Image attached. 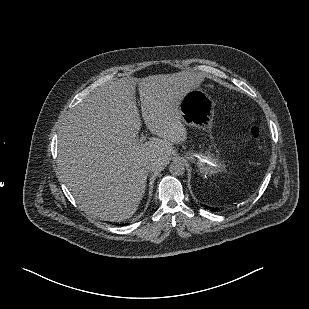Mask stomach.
I'll return each mask as SVG.
<instances>
[{"label": "stomach", "instance_id": "0dacf381", "mask_svg": "<svg viewBox=\"0 0 309 309\" xmlns=\"http://www.w3.org/2000/svg\"><path fill=\"white\" fill-rule=\"evenodd\" d=\"M179 116L184 126L205 127L213 117V106L200 92H193L182 101Z\"/></svg>", "mask_w": 309, "mask_h": 309}]
</instances>
